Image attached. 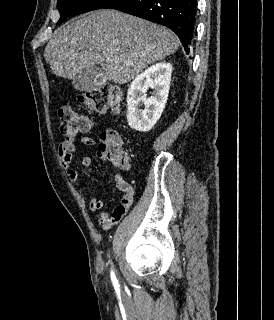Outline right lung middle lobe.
I'll return each instance as SVG.
<instances>
[{
    "mask_svg": "<svg viewBox=\"0 0 274 320\" xmlns=\"http://www.w3.org/2000/svg\"><path fill=\"white\" fill-rule=\"evenodd\" d=\"M111 1L113 0H58L60 19L57 24H61L69 16L102 9Z\"/></svg>",
    "mask_w": 274,
    "mask_h": 320,
    "instance_id": "dd1d6c3e",
    "label": "right lung middle lobe"
}]
</instances>
